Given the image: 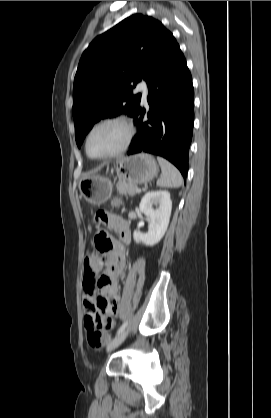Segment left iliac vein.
Wrapping results in <instances>:
<instances>
[{
  "instance_id": "1",
  "label": "left iliac vein",
  "mask_w": 271,
  "mask_h": 418,
  "mask_svg": "<svg viewBox=\"0 0 271 418\" xmlns=\"http://www.w3.org/2000/svg\"><path fill=\"white\" fill-rule=\"evenodd\" d=\"M128 331H123L121 334L117 335L113 340H111L107 345V351H112L117 348L126 338Z\"/></svg>"
}]
</instances>
